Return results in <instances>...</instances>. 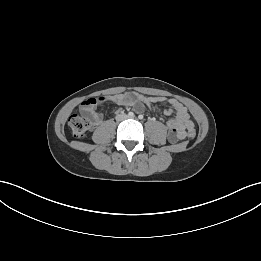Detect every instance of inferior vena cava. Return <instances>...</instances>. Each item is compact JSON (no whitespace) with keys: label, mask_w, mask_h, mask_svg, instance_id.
<instances>
[{"label":"inferior vena cava","mask_w":261,"mask_h":261,"mask_svg":"<svg viewBox=\"0 0 261 261\" xmlns=\"http://www.w3.org/2000/svg\"><path fill=\"white\" fill-rule=\"evenodd\" d=\"M123 118H125V116L117 117V120H121V119H123Z\"/></svg>","instance_id":"1"}]
</instances>
